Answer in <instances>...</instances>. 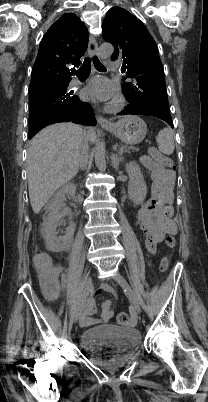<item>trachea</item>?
Listing matches in <instances>:
<instances>
[{"label":"trachea","mask_w":208,"mask_h":402,"mask_svg":"<svg viewBox=\"0 0 208 402\" xmlns=\"http://www.w3.org/2000/svg\"><path fill=\"white\" fill-rule=\"evenodd\" d=\"M93 62H94L95 68L99 72L106 71V68L104 67V65H102V63L98 60V58L94 57ZM90 71H91V59L86 58L78 70L71 71V75H76L79 78H84L90 74Z\"/></svg>","instance_id":"obj_1"}]
</instances>
